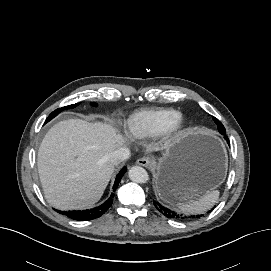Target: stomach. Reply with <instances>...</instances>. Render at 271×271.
I'll return each instance as SVG.
<instances>
[{
  "label": "stomach",
  "mask_w": 271,
  "mask_h": 271,
  "mask_svg": "<svg viewBox=\"0 0 271 271\" xmlns=\"http://www.w3.org/2000/svg\"><path fill=\"white\" fill-rule=\"evenodd\" d=\"M155 191L167 203L197 199L222 183L227 155L210 132L190 130L153 163Z\"/></svg>",
  "instance_id": "stomach-1"
}]
</instances>
